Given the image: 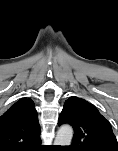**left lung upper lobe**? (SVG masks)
I'll list each match as a JSON object with an SVG mask.
<instances>
[{
  "label": "left lung upper lobe",
  "mask_w": 118,
  "mask_h": 151,
  "mask_svg": "<svg viewBox=\"0 0 118 151\" xmlns=\"http://www.w3.org/2000/svg\"><path fill=\"white\" fill-rule=\"evenodd\" d=\"M68 123L74 129L76 151H118L110 122L84 99L72 96L64 103L58 125Z\"/></svg>",
  "instance_id": "left-lung-upper-lobe-1"
}]
</instances>
